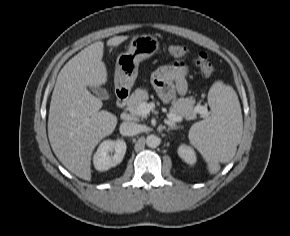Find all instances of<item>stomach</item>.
Listing matches in <instances>:
<instances>
[{"instance_id":"obj_1","label":"stomach","mask_w":290,"mask_h":236,"mask_svg":"<svg viewBox=\"0 0 290 236\" xmlns=\"http://www.w3.org/2000/svg\"><path fill=\"white\" fill-rule=\"evenodd\" d=\"M159 50V41L152 35H137L132 38L129 48L116 61L115 85L131 88L138 74L139 63L150 58Z\"/></svg>"}]
</instances>
